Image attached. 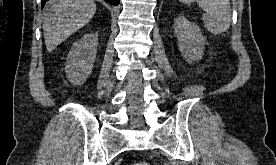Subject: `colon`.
<instances>
[{"mask_svg":"<svg viewBox=\"0 0 276 165\" xmlns=\"http://www.w3.org/2000/svg\"><path fill=\"white\" fill-rule=\"evenodd\" d=\"M134 165H150V164L146 161H139V162L135 163Z\"/></svg>","mask_w":276,"mask_h":165,"instance_id":"5ec220e1","label":"colon"}]
</instances>
